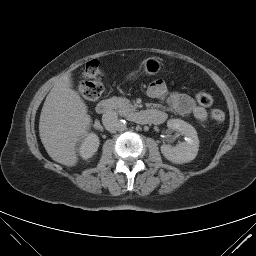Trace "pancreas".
Listing matches in <instances>:
<instances>
[{
	"label": "pancreas",
	"mask_w": 256,
	"mask_h": 256,
	"mask_svg": "<svg viewBox=\"0 0 256 256\" xmlns=\"http://www.w3.org/2000/svg\"><path fill=\"white\" fill-rule=\"evenodd\" d=\"M111 101L113 103V108L117 109L121 114H127L136 109L128 99L113 97Z\"/></svg>",
	"instance_id": "obj_1"
}]
</instances>
